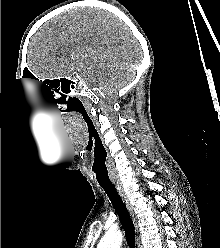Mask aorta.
I'll use <instances>...</instances> for the list:
<instances>
[{
  "label": "aorta",
  "mask_w": 220,
  "mask_h": 248,
  "mask_svg": "<svg viewBox=\"0 0 220 248\" xmlns=\"http://www.w3.org/2000/svg\"><path fill=\"white\" fill-rule=\"evenodd\" d=\"M122 243V233L120 231H108L97 248H120Z\"/></svg>",
  "instance_id": "obj_1"
}]
</instances>
